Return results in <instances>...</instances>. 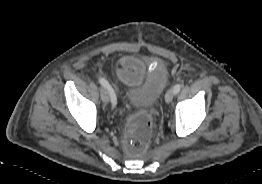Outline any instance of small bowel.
<instances>
[{
  "mask_svg": "<svg viewBox=\"0 0 262 184\" xmlns=\"http://www.w3.org/2000/svg\"><path fill=\"white\" fill-rule=\"evenodd\" d=\"M120 64L121 67L117 71V77L125 84H137L145 73L143 64L134 57H122L120 59Z\"/></svg>",
  "mask_w": 262,
  "mask_h": 184,
  "instance_id": "obj_1",
  "label": "small bowel"
}]
</instances>
